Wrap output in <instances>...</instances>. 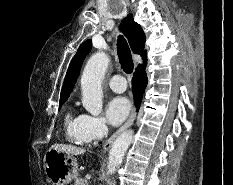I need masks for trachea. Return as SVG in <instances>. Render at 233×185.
<instances>
[{
	"instance_id": "3493384b",
	"label": "trachea",
	"mask_w": 233,
	"mask_h": 185,
	"mask_svg": "<svg viewBox=\"0 0 233 185\" xmlns=\"http://www.w3.org/2000/svg\"><path fill=\"white\" fill-rule=\"evenodd\" d=\"M117 52H118L121 68L127 74L132 73L134 64L131 56V51L126 40L122 36L118 37Z\"/></svg>"
}]
</instances>
